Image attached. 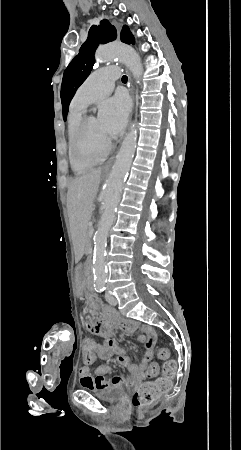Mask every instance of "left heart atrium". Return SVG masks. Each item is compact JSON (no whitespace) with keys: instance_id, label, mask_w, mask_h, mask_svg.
<instances>
[{"instance_id":"39dd6f15","label":"left heart atrium","mask_w":241,"mask_h":450,"mask_svg":"<svg viewBox=\"0 0 241 450\" xmlns=\"http://www.w3.org/2000/svg\"><path fill=\"white\" fill-rule=\"evenodd\" d=\"M105 105L111 113L109 129L113 136H117L126 126L131 107L130 101L125 95L120 94L109 100Z\"/></svg>"}]
</instances>
